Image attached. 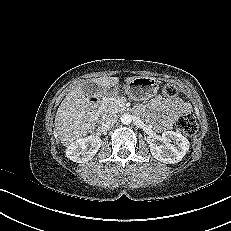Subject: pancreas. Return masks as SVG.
<instances>
[{"instance_id": "obj_1", "label": "pancreas", "mask_w": 231, "mask_h": 231, "mask_svg": "<svg viewBox=\"0 0 231 231\" xmlns=\"http://www.w3.org/2000/svg\"><path fill=\"white\" fill-rule=\"evenodd\" d=\"M121 99L119 97H107L105 98L99 107L100 113L102 115H107L109 113L121 112L124 107L120 105Z\"/></svg>"}]
</instances>
